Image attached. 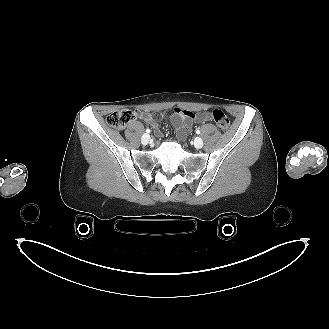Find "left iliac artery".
<instances>
[{
	"mask_svg": "<svg viewBox=\"0 0 329 329\" xmlns=\"http://www.w3.org/2000/svg\"><path fill=\"white\" fill-rule=\"evenodd\" d=\"M196 133H197V134H200V130H199V129H197V130H196Z\"/></svg>",
	"mask_w": 329,
	"mask_h": 329,
	"instance_id": "left-iliac-artery-1",
	"label": "left iliac artery"
}]
</instances>
